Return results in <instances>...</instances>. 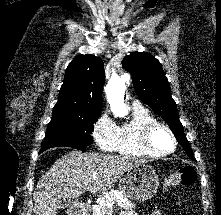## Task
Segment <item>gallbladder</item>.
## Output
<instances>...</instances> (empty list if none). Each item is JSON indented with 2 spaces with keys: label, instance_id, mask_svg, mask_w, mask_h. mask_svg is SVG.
<instances>
[{
  "label": "gallbladder",
  "instance_id": "bac80fb5",
  "mask_svg": "<svg viewBox=\"0 0 221 215\" xmlns=\"http://www.w3.org/2000/svg\"><path fill=\"white\" fill-rule=\"evenodd\" d=\"M70 204V199L61 198L59 202V209H65Z\"/></svg>",
  "mask_w": 221,
  "mask_h": 215
}]
</instances>
